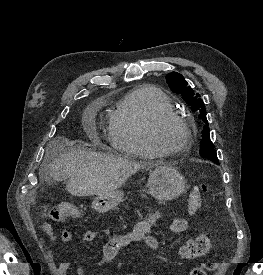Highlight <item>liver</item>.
Instances as JSON below:
<instances>
[{"label": "liver", "instance_id": "obj_1", "mask_svg": "<svg viewBox=\"0 0 263 275\" xmlns=\"http://www.w3.org/2000/svg\"><path fill=\"white\" fill-rule=\"evenodd\" d=\"M70 145L72 142L66 138L53 140L40 174L47 173L57 182L69 179L66 189L73 196L108 195L145 166L110 154L69 150ZM52 151H55V158L49 163L47 158Z\"/></svg>", "mask_w": 263, "mask_h": 275}]
</instances>
